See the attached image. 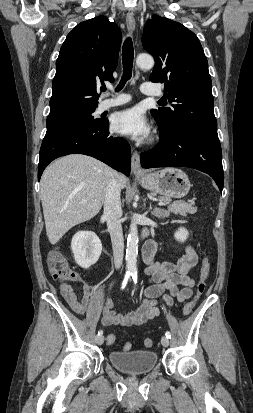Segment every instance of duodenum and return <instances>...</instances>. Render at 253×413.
I'll return each instance as SVG.
<instances>
[{"mask_svg":"<svg viewBox=\"0 0 253 413\" xmlns=\"http://www.w3.org/2000/svg\"><path fill=\"white\" fill-rule=\"evenodd\" d=\"M146 235V232H143V236H145Z\"/></svg>","mask_w":253,"mask_h":413,"instance_id":"duodenum-1","label":"duodenum"}]
</instances>
